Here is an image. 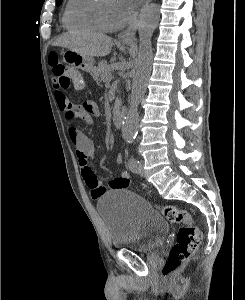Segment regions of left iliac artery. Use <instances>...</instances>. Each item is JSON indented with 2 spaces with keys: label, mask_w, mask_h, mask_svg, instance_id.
Wrapping results in <instances>:
<instances>
[{
  "label": "left iliac artery",
  "mask_w": 245,
  "mask_h": 300,
  "mask_svg": "<svg viewBox=\"0 0 245 300\" xmlns=\"http://www.w3.org/2000/svg\"><path fill=\"white\" fill-rule=\"evenodd\" d=\"M129 168L132 172L134 173H139L140 170H141V166H140V163L137 159L131 157L129 159Z\"/></svg>",
  "instance_id": "left-iliac-artery-1"
}]
</instances>
